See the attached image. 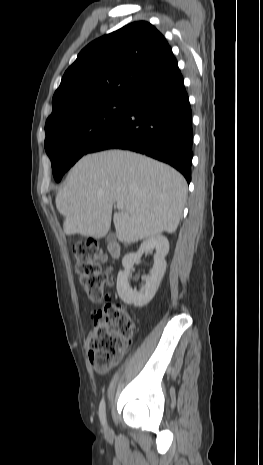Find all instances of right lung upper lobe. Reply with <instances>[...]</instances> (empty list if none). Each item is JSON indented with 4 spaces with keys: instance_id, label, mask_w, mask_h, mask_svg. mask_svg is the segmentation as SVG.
<instances>
[{
    "instance_id": "cb5924a9",
    "label": "right lung upper lobe",
    "mask_w": 263,
    "mask_h": 465,
    "mask_svg": "<svg viewBox=\"0 0 263 465\" xmlns=\"http://www.w3.org/2000/svg\"><path fill=\"white\" fill-rule=\"evenodd\" d=\"M178 67L164 36L138 21L88 44L64 73L46 122L94 101L130 98Z\"/></svg>"
}]
</instances>
